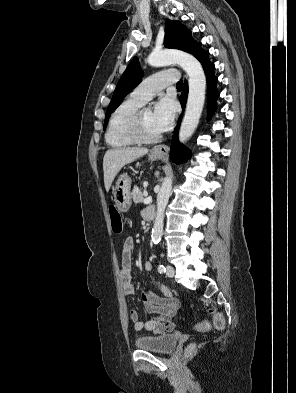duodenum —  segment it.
Listing matches in <instances>:
<instances>
[{
    "label": "duodenum",
    "instance_id": "410a0bca",
    "mask_svg": "<svg viewBox=\"0 0 296 393\" xmlns=\"http://www.w3.org/2000/svg\"><path fill=\"white\" fill-rule=\"evenodd\" d=\"M155 212H156L155 207H153V206L148 207L147 210H146V212H145V218H146V220H148V221L153 220L154 217H155Z\"/></svg>",
    "mask_w": 296,
    "mask_h": 393
}]
</instances>
